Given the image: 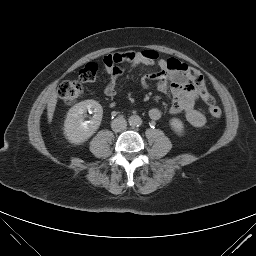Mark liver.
<instances>
[{"instance_id":"liver-1","label":"liver","mask_w":256,"mask_h":256,"mask_svg":"<svg viewBox=\"0 0 256 256\" xmlns=\"http://www.w3.org/2000/svg\"><path fill=\"white\" fill-rule=\"evenodd\" d=\"M57 92H53L50 99H49V102L47 104V116H48V122L50 123L53 119V113L55 111V107H56V104H57Z\"/></svg>"}]
</instances>
